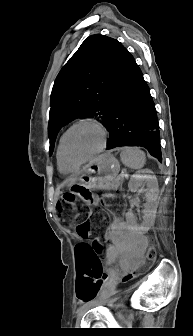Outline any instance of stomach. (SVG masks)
<instances>
[{"mask_svg":"<svg viewBox=\"0 0 193 336\" xmlns=\"http://www.w3.org/2000/svg\"><path fill=\"white\" fill-rule=\"evenodd\" d=\"M120 170L119 162L109 154L99 156L71 185V190L89 206L97 204L94 193L98 189H109L108 185L116 178Z\"/></svg>","mask_w":193,"mask_h":336,"instance_id":"0dacf381","label":"stomach"}]
</instances>
